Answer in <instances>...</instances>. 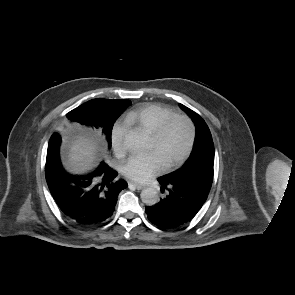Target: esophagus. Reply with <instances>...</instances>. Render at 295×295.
I'll return each mask as SVG.
<instances>
[{
	"label": "esophagus",
	"mask_w": 295,
	"mask_h": 295,
	"mask_svg": "<svg viewBox=\"0 0 295 295\" xmlns=\"http://www.w3.org/2000/svg\"><path fill=\"white\" fill-rule=\"evenodd\" d=\"M129 184L133 185L138 190H141L144 188V185L138 184L136 182H130Z\"/></svg>",
	"instance_id": "esophagus-1"
}]
</instances>
